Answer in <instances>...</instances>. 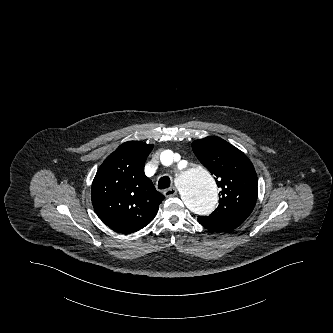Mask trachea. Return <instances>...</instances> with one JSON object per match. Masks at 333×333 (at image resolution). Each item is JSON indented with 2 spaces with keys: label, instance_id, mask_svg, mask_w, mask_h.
Listing matches in <instances>:
<instances>
[{
  "label": "trachea",
  "instance_id": "obj_1",
  "mask_svg": "<svg viewBox=\"0 0 333 333\" xmlns=\"http://www.w3.org/2000/svg\"><path fill=\"white\" fill-rule=\"evenodd\" d=\"M171 184L170 178L168 176L161 177L158 182L159 189L168 188Z\"/></svg>",
  "mask_w": 333,
  "mask_h": 333
}]
</instances>
